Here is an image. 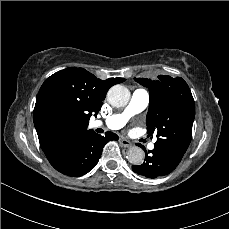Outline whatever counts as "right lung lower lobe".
Returning a JSON list of instances; mask_svg holds the SVG:
<instances>
[{"mask_svg": "<svg viewBox=\"0 0 229 229\" xmlns=\"http://www.w3.org/2000/svg\"><path fill=\"white\" fill-rule=\"evenodd\" d=\"M109 140H118V136L112 132L101 136L89 130L72 140L49 162L57 171L67 176L84 175L98 163L102 149Z\"/></svg>", "mask_w": 229, "mask_h": 229, "instance_id": "obj_1", "label": "right lung lower lobe"}]
</instances>
